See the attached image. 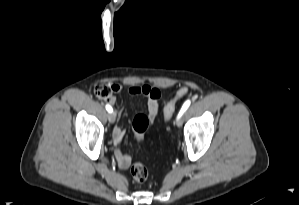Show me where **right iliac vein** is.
Here are the masks:
<instances>
[{"mask_svg":"<svg viewBox=\"0 0 299 205\" xmlns=\"http://www.w3.org/2000/svg\"><path fill=\"white\" fill-rule=\"evenodd\" d=\"M108 120H109L110 123H114L115 120H116V114L114 112H110L108 114Z\"/></svg>","mask_w":299,"mask_h":205,"instance_id":"obj_1","label":"right iliac vein"}]
</instances>
